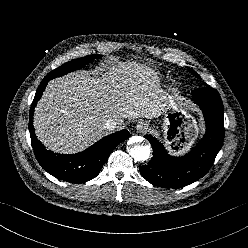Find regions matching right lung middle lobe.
I'll use <instances>...</instances> for the list:
<instances>
[{"label": "right lung middle lobe", "mask_w": 248, "mask_h": 248, "mask_svg": "<svg viewBox=\"0 0 248 248\" xmlns=\"http://www.w3.org/2000/svg\"><path fill=\"white\" fill-rule=\"evenodd\" d=\"M101 58V55L95 54L91 56H85L83 58H79L76 60L69 61L60 67L56 68L55 70L51 71L46 75V77H50L51 79L63 76L69 72H72L74 70L80 69L86 64L92 62L94 59H99Z\"/></svg>", "instance_id": "obj_1"}]
</instances>
